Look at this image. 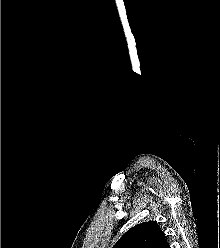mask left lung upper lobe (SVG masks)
<instances>
[{
    "mask_svg": "<svg viewBox=\"0 0 220 248\" xmlns=\"http://www.w3.org/2000/svg\"><path fill=\"white\" fill-rule=\"evenodd\" d=\"M113 248H169V243L157 222L148 221L129 229Z\"/></svg>",
    "mask_w": 220,
    "mask_h": 248,
    "instance_id": "5c2ea615",
    "label": "left lung upper lobe"
}]
</instances>
